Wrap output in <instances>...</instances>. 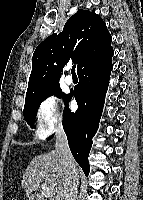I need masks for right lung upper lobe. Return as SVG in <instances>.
Segmentation results:
<instances>
[{
    "mask_svg": "<svg viewBox=\"0 0 143 200\" xmlns=\"http://www.w3.org/2000/svg\"><path fill=\"white\" fill-rule=\"evenodd\" d=\"M111 48V35L102 18L79 9L66 22L63 31L41 42L32 57V71L26 97L59 84L62 68L72 59L79 70L90 60Z\"/></svg>",
    "mask_w": 143,
    "mask_h": 200,
    "instance_id": "1",
    "label": "right lung upper lobe"
}]
</instances>
